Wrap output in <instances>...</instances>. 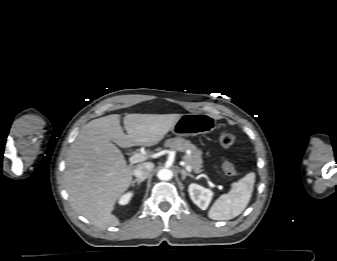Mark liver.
<instances>
[{"label":"liver","mask_w":337,"mask_h":261,"mask_svg":"<svg viewBox=\"0 0 337 261\" xmlns=\"http://www.w3.org/2000/svg\"><path fill=\"white\" fill-rule=\"evenodd\" d=\"M180 114H127L125 134L120 115L94 119L82 127L69 149L64 187L72 208L98 228L117 226L112 214L117 200L128 190L135 165H127L123 148L154 146L173 128ZM139 165V164H138Z\"/></svg>","instance_id":"liver-1"}]
</instances>
